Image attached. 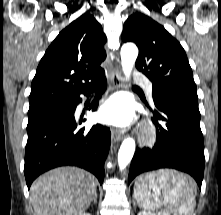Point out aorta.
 Wrapping results in <instances>:
<instances>
[{"label":"aorta","mask_w":221,"mask_h":215,"mask_svg":"<svg viewBox=\"0 0 221 215\" xmlns=\"http://www.w3.org/2000/svg\"><path fill=\"white\" fill-rule=\"evenodd\" d=\"M121 65L126 80H129L131 71L134 67L135 61L138 56V48L133 43H126L121 48ZM135 152V141L133 138H126L118 152V165L121 170L132 160Z\"/></svg>","instance_id":"obj_1"}]
</instances>
